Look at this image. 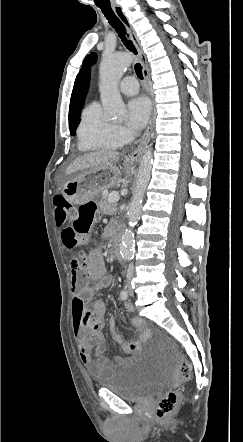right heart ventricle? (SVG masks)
I'll return each instance as SVG.
<instances>
[{"mask_svg":"<svg viewBox=\"0 0 243 442\" xmlns=\"http://www.w3.org/2000/svg\"><path fill=\"white\" fill-rule=\"evenodd\" d=\"M77 136L80 151L112 149L121 144L114 126L103 117L101 108L96 102L85 107Z\"/></svg>","mask_w":243,"mask_h":442,"instance_id":"1","label":"right heart ventricle"}]
</instances>
